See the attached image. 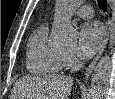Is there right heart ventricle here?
Segmentation results:
<instances>
[{
	"label": "right heart ventricle",
	"instance_id": "1",
	"mask_svg": "<svg viewBox=\"0 0 115 99\" xmlns=\"http://www.w3.org/2000/svg\"><path fill=\"white\" fill-rule=\"evenodd\" d=\"M64 57V52L49 43L46 25L33 32L26 53V65L31 73L42 76L57 74L65 66Z\"/></svg>",
	"mask_w": 115,
	"mask_h": 99
}]
</instances>
